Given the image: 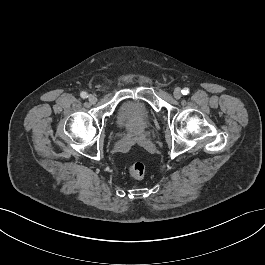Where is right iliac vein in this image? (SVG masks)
<instances>
[{
  "mask_svg": "<svg viewBox=\"0 0 265 265\" xmlns=\"http://www.w3.org/2000/svg\"><path fill=\"white\" fill-rule=\"evenodd\" d=\"M88 100L90 103L94 104L97 101V98L94 95H89Z\"/></svg>",
  "mask_w": 265,
  "mask_h": 265,
  "instance_id": "right-iliac-vein-1",
  "label": "right iliac vein"
}]
</instances>
